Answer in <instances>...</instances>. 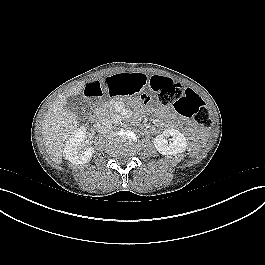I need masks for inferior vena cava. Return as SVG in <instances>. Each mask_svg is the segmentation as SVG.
I'll list each match as a JSON object with an SVG mask.
<instances>
[{
    "label": "inferior vena cava",
    "instance_id": "1",
    "mask_svg": "<svg viewBox=\"0 0 265 265\" xmlns=\"http://www.w3.org/2000/svg\"><path fill=\"white\" fill-rule=\"evenodd\" d=\"M111 128H112V122L108 118H101L96 125L97 131L101 134L109 132Z\"/></svg>",
    "mask_w": 265,
    "mask_h": 265
}]
</instances>
